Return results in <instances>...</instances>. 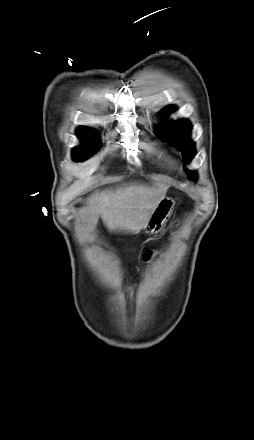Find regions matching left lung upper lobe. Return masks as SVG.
I'll return each instance as SVG.
<instances>
[{"label": "left lung upper lobe", "instance_id": "left-lung-upper-lobe-1", "mask_svg": "<svg viewBox=\"0 0 254 440\" xmlns=\"http://www.w3.org/2000/svg\"><path fill=\"white\" fill-rule=\"evenodd\" d=\"M173 111V107H167L163 110V114ZM191 128L189 121L178 120L159 127L156 132L161 140L181 151L184 163L189 162L195 156L194 143L189 139ZM189 176L195 178L194 173H189Z\"/></svg>", "mask_w": 254, "mask_h": 440}]
</instances>
